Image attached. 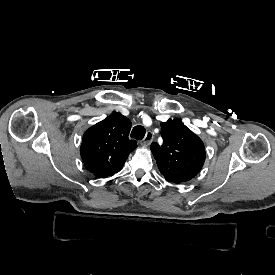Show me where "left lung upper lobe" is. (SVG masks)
I'll return each instance as SVG.
<instances>
[{"label":"left lung upper lobe","mask_w":275,"mask_h":275,"mask_svg":"<svg viewBox=\"0 0 275 275\" xmlns=\"http://www.w3.org/2000/svg\"><path fill=\"white\" fill-rule=\"evenodd\" d=\"M161 127L163 144L154 142L150 146L160 173L176 184L191 180L205 161L202 140L176 119L161 123Z\"/></svg>","instance_id":"5c2ea615"}]
</instances>
